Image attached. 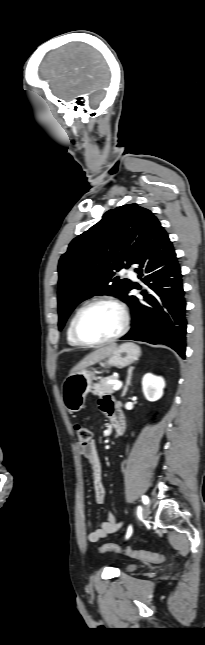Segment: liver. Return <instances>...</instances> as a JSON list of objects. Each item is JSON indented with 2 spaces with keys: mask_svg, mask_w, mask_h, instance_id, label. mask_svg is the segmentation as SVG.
I'll use <instances>...</instances> for the list:
<instances>
[{
  "mask_svg": "<svg viewBox=\"0 0 205 645\" xmlns=\"http://www.w3.org/2000/svg\"><path fill=\"white\" fill-rule=\"evenodd\" d=\"M116 348H117L116 344H110L108 346H103L91 352L83 360H81L74 368H72L69 375L79 372L81 370H84L87 367L94 365L95 363L107 358Z\"/></svg>",
  "mask_w": 205,
  "mask_h": 645,
  "instance_id": "1",
  "label": "liver"
}]
</instances>
